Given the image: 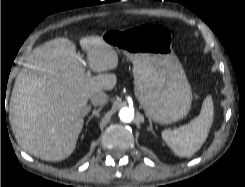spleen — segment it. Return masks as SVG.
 Segmentation results:
<instances>
[{"label": "spleen", "mask_w": 245, "mask_h": 187, "mask_svg": "<svg viewBox=\"0 0 245 187\" xmlns=\"http://www.w3.org/2000/svg\"><path fill=\"white\" fill-rule=\"evenodd\" d=\"M214 105L210 95L203 101L198 117L177 129H165L162 138L175 154L189 157L197 152L205 142L213 123Z\"/></svg>", "instance_id": "3e777b00"}]
</instances>
